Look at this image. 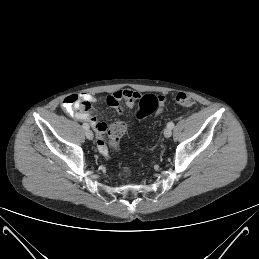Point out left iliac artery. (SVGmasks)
<instances>
[{"label": "left iliac artery", "mask_w": 259, "mask_h": 259, "mask_svg": "<svg viewBox=\"0 0 259 259\" xmlns=\"http://www.w3.org/2000/svg\"><path fill=\"white\" fill-rule=\"evenodd\" d=\"M167 127H169L170 129H173L174 128V123L173 122H169L167 124Z\"/></svg>", "instance_id": "obj_1"}]
</instances>
